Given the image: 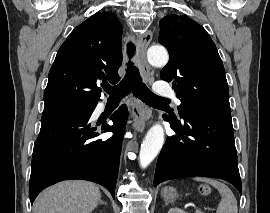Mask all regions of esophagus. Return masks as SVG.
Masks as SVG:
<instances>
[{"mask_svg":"<svg viewBox=\"0 0 270 213\" xmlns=\"http://www.w3.org/2000/svg\"><path fill=\"white\" fill-rule=\"evenodd\" d=\"M152 32L147 30L144 34L138 36L137 39V63L141 70L142 77L145 81H148L150 78V66L147 63L146 51L152 40ZM134 113V123L133 129L141 133L145 129V124L151 117V110L145 105L137 104L133 110Z\"/></svg>","mask_w":270,"mask_h":213,"instance_id":"34e87169","label":"esophagus"}]
</instances>
